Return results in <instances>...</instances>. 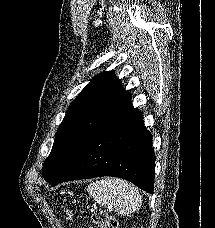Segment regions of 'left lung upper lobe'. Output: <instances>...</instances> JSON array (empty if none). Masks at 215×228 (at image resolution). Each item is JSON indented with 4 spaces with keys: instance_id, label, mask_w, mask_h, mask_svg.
<instances>
[{
    "instance_id": "5c2ea615",
    "label": "left lung upper lobe",
    "mask_w": 215,
    "mask_h": 228,
    "mask_svg": "<svg viewBox=\"0 0 215 228\" xmlns=\"http://www.w3.org/2000/svg\"><path fill=\"white\" fill-rule=\"evenodd\" d=\"M130 98L114 72L95 76L70 104L55 134L52 151L42 168L46 181L54 179L93 133Z\"/></svg>"
}]
</instances>
